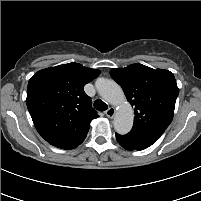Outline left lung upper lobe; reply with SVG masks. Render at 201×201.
<instances>
[{"label":"left lung upper lobe","mask_w":201,"mask_h":201,"mask_svg":"<svg viewBox=\"0 0 201 201\" xmlns=\"http://www.w3.org/2000/svg\"><path fill=\"white\" fill-rule=\"evenodd\" d=\"M110 75L134 107L131 131L162 135L173 119L179 94L174 75L138 63L112 69Z\"/></svg>","instance_id":"left-lung-upper-lobe-1"}]
</instances>
